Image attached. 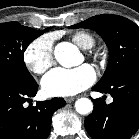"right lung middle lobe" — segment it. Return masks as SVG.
<instances>
[{
	"mask_svg": "<svg viewBox=\"0 0 139 139\" xmlns=\"http://www.w3.org/2000/svg\"><path fill=\"white\" fill-rule=\"evenodd\" d=\"M45 30H34L17 22L0 24V75L24 83L34 81L25 66L23 54L28 45Z\"/></svg>",
	"mask_w": 139,
	"mask_h": 139,
	"instance_id": "1",
	"label": "right lung middle lobe"
}]
</instances>
